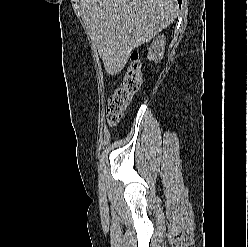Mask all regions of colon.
I'll return each mask as SVG.
<instances>
[{
    "instance_id": "5ec220e1",
    "label": "colon",
    "mask_w": 248,
    "mask_h": 247,
    "mask_svg": "<svg viewBox=\"0 0 248 247\" xmlns=\"http://www.w3.org/2000/svg\"><path fill=\"white\" fill-rule=\"evenodd\" d=\"M141 83V63L137 53H133L120 84L109 99L107 107V120L109 125L115 126L120 122L127 107L138 93Z\"/></svg>"
}]
</instances>
